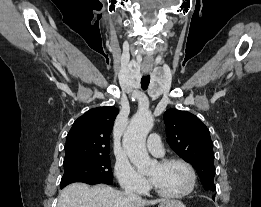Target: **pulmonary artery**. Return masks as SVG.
<instances>
[{
	"label": "pulmonary artery",
	"mask_w": 261,
	"mask_h": 207,
	"mask_svg": "<svg viewBox=\"0 0 261 207\" xmlns=\"http://www.w3.org/2000/svg\"><path fill=\"white\" fill-rule=\"evenodd\" d=\"M147 149L151 154L155 156H162L164 154L160 137L157 134H151L148 137Z\"/></svg>",
	"instance_id": "e3ab8cb5"
}]
</instances>
